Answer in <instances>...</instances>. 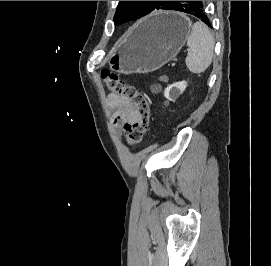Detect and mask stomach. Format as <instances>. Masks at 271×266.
Wrapping results in <instances>:
<instances>
[{
    "instance_id": "obj_1",
    "label": "stomach",
    "mask_w": 271,
    "mask_h": 266,
    "mask_svg": "<svg viewBox=\"0 0 271 266\" xmlns=\"http://www.w3.org/2000/svg\"><path fill=\"white\" fill-rule=\"evenodd\" d=\"M190 31L191 22L181 13L152 14L121 40L110 68L124 74L152 72L178 54Z\"/></svg>"
}]
</instances>
